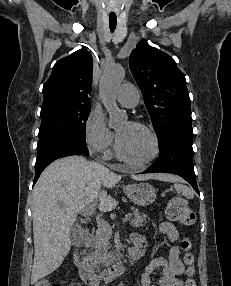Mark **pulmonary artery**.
<instances>
[{
    "instance_id": "e3ab8cb5",
    "label": "pulmonary artery",
    "mask_w": 231,
    "mask_h": 286,
    "mask_svg": "<svg viewBox=\"0 0 231 286\" xmlns=\"http://www.w3.org/2000/svg\"><path fill=\"white\" fill-rule=\"evenodd\" d=\"M116 98L123 106L133 108L139 102V93L134 85L124 83L119 87Z\"/></svg>"
}]
</instances>
